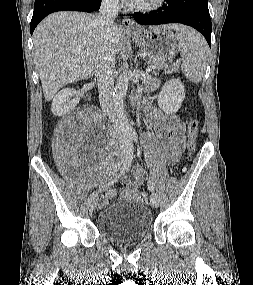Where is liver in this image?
I'll return each mask as SVG.
<instances>
[{
    "label": "liver",
    "instance_id": "1",
    "mask_svg": "<svg viewBox=\"0 0 253 285\" xmlns=\"http://www.w3.org/2000/svg\"><path fill=\"white\" fill-rule=\"evenodd\" d=\"M94 19L88 13L57 12L47 16L35 29V61L47 101L66 84L95 73L101 39ZM179 26L165 27L176 30ZM111 41L116 54L123 41V30L116 24L111 29Z\"/></svg>",
    "mask_w": 253,
    "mask_h": 285
}]
</instances>
